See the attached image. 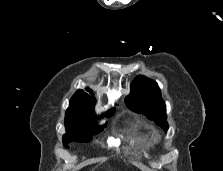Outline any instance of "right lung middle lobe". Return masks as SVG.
Returning a JSON list of instances; mask_svg holds the SVG:
<instances>
[{"label": "right lung middle lobe", "instance_id": "right-lung-middle-lobe-1", "mask_svg": "<svg viewBox=\"0 0 223 171\" xmlns=\"http://www.w3.org/2000/svg\"><path fill=\"white\" fill-rule=\"evenodd\" d=\"M114 113L107 112L109 117ZM97 116L93 108H69L65 114L66 134L63 136V143L89 142L92 136L98 134L106 125H97Z\"/></svg>", "mask_w": 223, "mask_h": 171}]
</instances>
